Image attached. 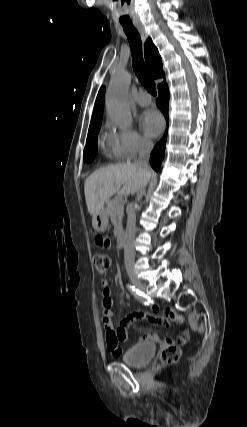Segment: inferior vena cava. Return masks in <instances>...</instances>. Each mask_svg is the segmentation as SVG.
<instances>
[{"label": "inferior vena cava", "instance_id": "inferior-vena-cava-1", "mask_svg": "<svg viewBox=\"0 0 247 427\" xmlns=\"http://www.w3.org/2000/svg\"><path fill=\"white\" fill-rule=\"evenodd\" d=\"M153 149V143L150 140L143 139L140 142L138 160L136 165L142 168L147 174V180L144 182L143 186L137 193V200H140L145 193V187L150 179L151 172L149 167V157ZM136 235V214H135V205H132L129 209L128 219H127V228H126V244L124 247V259L125 267L128 273L132 272L134 269L135 261V250H134V239Z\"/></svg>", "mask_w": 247, "mask_h": 427}]
</instances>
